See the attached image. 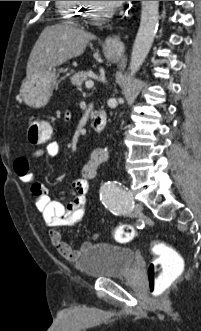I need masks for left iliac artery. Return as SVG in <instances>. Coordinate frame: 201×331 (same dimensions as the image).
Returning a JSON list of instances; mask_svg holds the SVG:
<instances>
[{
  "mask_svg": "<svg viewBox=\"0 0 201 331\" xmlns=\"http://www.w3.org/2000/svg\"><path fill=\"white\" fill-rule=\"evenodd\" d=\"M100 200L114 215L127 214L134 207L133 198L127 188L116 181H108L101 186Z\"/></svg>",
  "mask_w": 201,
  "mask_h": 331,
  "instance_id": "obj_1",
  "label": "left iliac artery"
}]
</instances>
